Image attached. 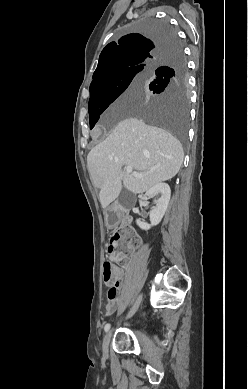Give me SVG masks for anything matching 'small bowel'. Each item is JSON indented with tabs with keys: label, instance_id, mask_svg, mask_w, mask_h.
<instances>
[{
	"label": "small bowel",
	"instance_id": "obj_1",
	"mask_svg": "<svg viewBox=\"0 0 248 389\" xmlns=\"http://www.w3.org/2000/svg\"><path fill=\"white\" fill-rule=\"evenodd\" d=\"M116 307H117V300L116 299H114V300L108 299V302L106 305V314L111 315L116 310Z\"/></svg>",
	"mask_w": 248,
	"mask_h": 389
}]
</instances>
